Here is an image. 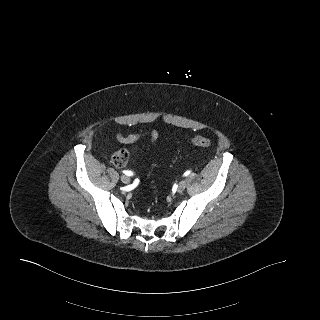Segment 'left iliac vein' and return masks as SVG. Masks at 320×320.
Segmentation results:
<instances>
[{
    "mask_svg": "<svg viewBox=\"0 0 320 320\" xmlns=\"http://www.w3.org/2000/svg\"><path fill=\"white\" fill-rule=\"evenodd\" d=\"M186 185H187V183H186L185 180L180 181L179 184H178L177 191H178L179 193H180V192H183L184 189L186 188Z\"/></svg>",
    "mask_w": 320,
    "mask_h": 320,
    "instance_id": "obj_1",
    "label": "left iliac vein"
}]
</instances>
